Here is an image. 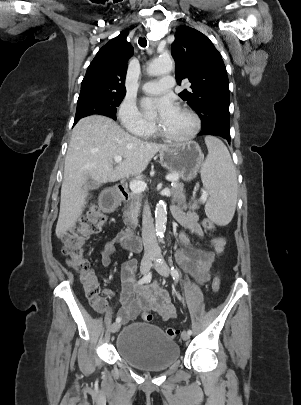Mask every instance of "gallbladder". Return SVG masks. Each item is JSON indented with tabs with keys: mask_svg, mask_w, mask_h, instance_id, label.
I'll list each match as a JSON object with an SVG mask.
<instances>
[{
	"mask_svg": "<svg viewBox=\"0 0 301 405\" xmlns=\"http://www.w3.org/2000/svg\"><path fill=\"white\" fill-rule=\"evenodd\" d=\"M99 186H100L99 183H92V184L87 183V191L96 189V188H98Z\"/></svg>",
	"mask_w": 301,
	"mask_h": 405,
	"instance_id": "bac80fb5",
	"label": "gallbladder"
}]
</instances>
